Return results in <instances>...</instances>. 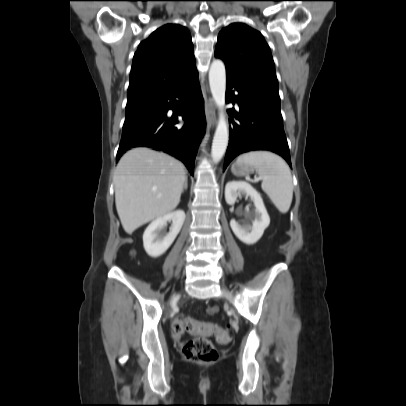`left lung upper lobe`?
Listing matches in <instances>:
<instances>
[{
  "label": "left lung upper lobe",
  "instance_id": "1",
  "mask_svg": "<svg viewBox=\"0 0 406 406\" xmlns=\"http://www.w3.org/2000/svg\"><path fill=\"white\" fill-rule=\"evenodd\" d=\"M215 56L224 61L227 75L279 98L270 48L257 30L242 23L223 28L218 35Z\"/></svg>",
  "mask_w": 406,
  "mask_h": 406
}]
</instances>
